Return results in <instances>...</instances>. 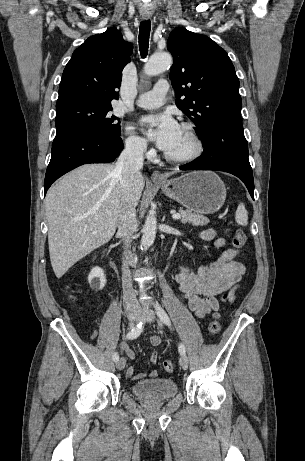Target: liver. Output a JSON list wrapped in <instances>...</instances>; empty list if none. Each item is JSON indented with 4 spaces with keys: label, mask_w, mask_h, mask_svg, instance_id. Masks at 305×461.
<instances>
[{
    "label": "liver",
    "mask_w": 305,
    "mask_h": 461,
    "mask_svg": "<svg viewBox=\"0 0 305 461\" xmlns=\"http://www.w3.org/2000/svg\"><path fill=\"white\" fill-rule=\"evenodd\" d=\"M111 164H86L66 174L45 198L51 265L57 278L114 235L122 198L137 206L145 181L124 193ZM110 213V214H109Z\"/></svg>",
    "instance_id": "liver-1"
}]
</instances>
